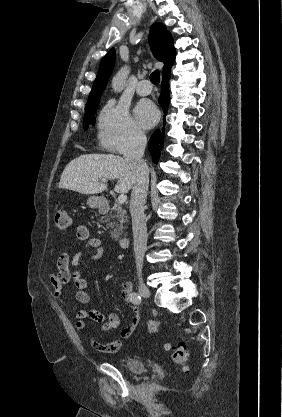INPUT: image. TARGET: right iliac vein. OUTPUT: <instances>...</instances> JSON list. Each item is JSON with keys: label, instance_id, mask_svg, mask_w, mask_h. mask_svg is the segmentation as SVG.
I'll list each match as a JSON object with an SVG mask.
<instances>
[{"label": "right iliac vein", "instance_id": "right-iliac-vein-1", "mask_svg": "<svg viewBox=\"0 0 282 417\" xmlns=\"http://www.w3.org/2000/svg\"><path fill=\"white\" fill-rule=\"evenodd\" d=\"M139 293L143 297H149L151 295V292H150L149 288L145 284H140L139 285Z\"/></svg>", "mask_w": 282, "mask_h": 417}]
</instances>
